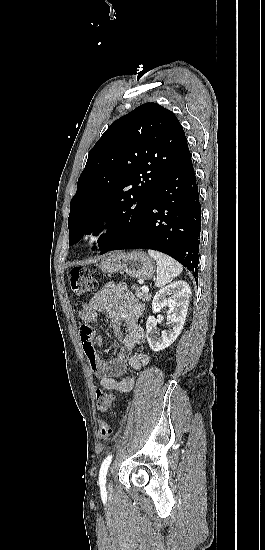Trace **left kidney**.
<instances>
[{"mask_svg": "<svg viewBox=\"0 0 265 550\" xmlns=\"http://www.w3.org/2000/svg\"><path fill=\"white\" fill-rule=\"evenodd\" d=\"M191 289L185 281H176L160 289L153 298L152 311L158 313L163 307H168L167 322L171 323V329L159 334L156 326L157 319L150 316L146 323V337L153 351L164 350L169 347L179 336L183 329Z\"/></svg>", "mask_w": 265, "mask_h": 550, "instance_id": "1", "label": "left kidney"}]
</instances>
